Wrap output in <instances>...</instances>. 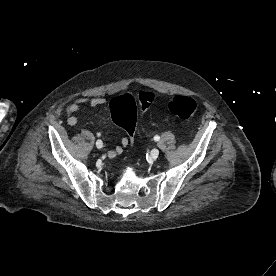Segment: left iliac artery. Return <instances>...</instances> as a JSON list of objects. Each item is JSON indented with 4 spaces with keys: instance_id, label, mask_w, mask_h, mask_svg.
<instances>
[{
    "instance_id": "1",
    "label": "left iliac artery",
    "mask_w": 276,
    "mask_h": 276,
    "mask_svg": "<svg viewBox=\"0 0 276 276\" xmlns=\"http://www.w3.org/2000/svg\"><path fill=\"white\" fill-rule=\"evenodd\" d=\"M154 140H155V141H159V140H160V137H159L158 135H156V136L154 137Z\"/></svg>"
}]
</instances>
